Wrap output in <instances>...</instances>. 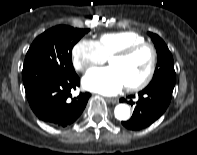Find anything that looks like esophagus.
I'll return each mask as SVG.
<instances>
[{
  "label": "esophagus",
  "instance_id": "1",
  "mask_svg": "<svg viewBox=\"0 0 197 155\" xmlns=\"http://www.w3.org/2000/svg\"><path fill=\"white\" fill-rule=\"evenodd\" d=\"M106 100H107L108 102L112 103V104H116V103L118 102V100L115 99V98H106Z\"/></svg>",
  "mask_w": 197,
  "mask_h": 155
}]
</instances>
